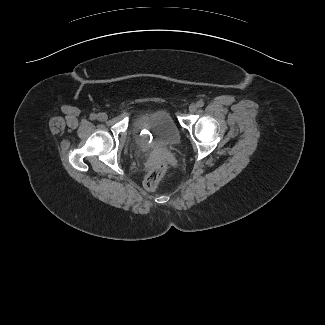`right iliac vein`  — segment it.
I'll return each instance as SVG.
<instances>
[{
    "instance_id": "right-iliac-vein-1",
    "label": "right iliac vein",
    "mask_w": 325,
    "mask_h": 325,
    "mask_svg": "<svg viewBox=\"0 0 325 325\" xmlns=\"http://www.w3.org/2000/svg\"><path fill=\"white\" fill-rule=\"evenodd\" d=\"M97 118H98L100 121H105V120H107V114H105V113H99V114L97 115Z\"/></svg>"
}]
</instances>
